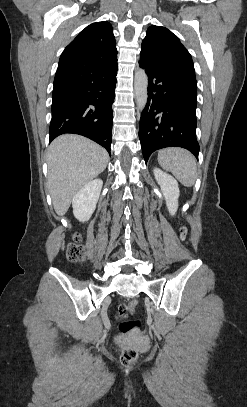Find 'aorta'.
Masks as SVG:
<instances>
[{"instance_id": "obj_1", "label": "aorta", "mask_w": 247, "mask_h": 407, "mask_svg": "<svg viewBox=\"0 0 247 407\" xmlns=\"http://www.w3.org/2000/svg\"><path fill=\"white\" fill-rule=\"evenodd\" d=\"M148 77L143 69H137L134 77V94L137 109L142 111L148 99Z\"/></svg>"}]
</instances>
